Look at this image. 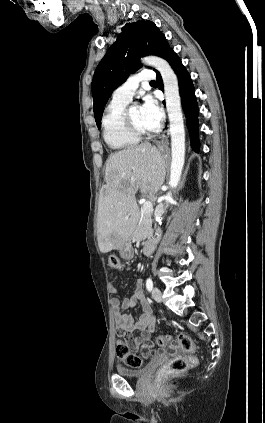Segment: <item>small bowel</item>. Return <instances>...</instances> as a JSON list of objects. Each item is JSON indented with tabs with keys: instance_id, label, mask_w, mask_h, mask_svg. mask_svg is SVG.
<instances>
[{
	"instance_id": "1",
	"label": "small bowel",
	"mask_w": 265,
	"mask_h": 423,
	"mask_svg": "<svg viewBox=\"0 0 265 423\" xmlns=\"http://www.w3.org/2000/svg\"><path fill=\"white\" fill-rule=\"evenodd\" d=\"M114 277V274L111 275ZM109 290L112 293H119V289L114 285H109ZM140 304L142 308V314L137 320L125 310L130 307ZM111 306L113 309L114 320L118 333L123 334L126 337L127 345L132 352H141L143 356H148L153 346L152 335L154 332V326L156 318L153 314L151 307L145 297L142 285L140 282L136 284L134 292L125 297L122 301L118 298L111 300ZM139 331V335H135V332Z\"/></svg>"
}]
</instances>
